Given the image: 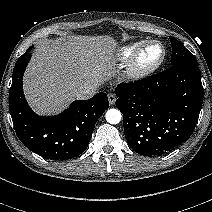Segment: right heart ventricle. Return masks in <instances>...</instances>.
<instances>
[{
  "mask_svg": "<svg viewBox=\"0 0 212 212\" xmlns=\"http://www.w3.org/2000/svg\"><path fill=\"white\" fill-rule=\"evenodd\" d=\"M139 45L140 44H134V45H131V46L124 47L120 51V58L121 59L130 58Z\"/></svg>",
  "mask_w": 212,
  "mask_h": 212,
  "instance_id": "obj_1",
  "label": "right heart ventricle"
}]
</instances>
